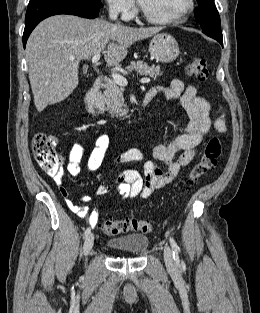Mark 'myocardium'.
<instances>
[{"label":"myocardium","instance_id":"obj_1","mask_svg":"<svg viewBox=\"0 0 260 313\" xmlns=\"http://www.w3.org/2000/svg\"><path fill=\"white\" fill-rule=\"evenodd\" d=\"M195 5V0H187L186 6L183 10H181L179 13H177L174 16L171 17H155L151 15L140 3L138 2V7L140 10V13L144 19H146L150 23L154 24H173L181 21L186 15H188L193 9Z\"/></svg>","mask_w":260,"mask_h":313}]
</instances>
